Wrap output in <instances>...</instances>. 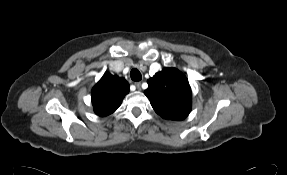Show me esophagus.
I'll use <instances>...</instances> for the list:
<instances>
[{
    "mask_svg": "<svg viewBox=\"0 0 287 175\" xmlns=\"http://www.w3.org/2000/svg\"><path fill=\"white\" fill-rule=\"evenodd\" d=\"M135 86L138 90L141 89V82H135Z\"/></svg>",
    "mask_w": 287,
    "mask_h": 175,
    "instance_id": "esophagus-1",
    "label": "esophagus"
}]
</instances>
